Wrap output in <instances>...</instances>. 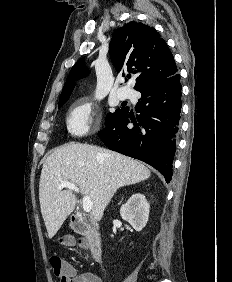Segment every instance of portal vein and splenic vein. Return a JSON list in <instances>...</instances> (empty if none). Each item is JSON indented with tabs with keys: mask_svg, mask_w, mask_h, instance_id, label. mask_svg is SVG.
I'll return each mask as SVG.
<instances>
[{
	"mask_svg": "<svg viewBox=\"0 0 232 282\" xmlns=\"http://www.w3.org/2000/svg\"><path fill=\"white\" fill-rule=\"evenodd\" d=\"M63 188H67L69 190H72L76 193H79V188H77V186L72 183V182H69V181H64V182H61L59 184V190H62ZM92 209V202H91V199L89 196H83V210L85 212H90Z\"/></svg>",
	"mask_w": 232,
	"mask_h": 282,
	"instance_id": "portal-vein-and-splenic-vein-1",
	"label": "portal vein and splenic vein"
}]
</instances>
